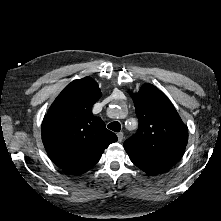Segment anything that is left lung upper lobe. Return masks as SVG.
Returning <instances> with one entry per match:
<instances>
[{"label":"left lung upper lobe","mask_w":221,"mask_h":221,"mask_svg":"<svg viewBox=\"0 0 221 221\" xmlns=\"http://www.w3.org/2000/svg\"><path fill=\"white\" fill-rule=\"evenodd\" d=\"M133 98L139 120L137 133L124 142L131 161L149 175L173 167L188 141V128L169 99L146 83Z\"/></svg>","instance_id":"5c2ea615"}]
</instances>
